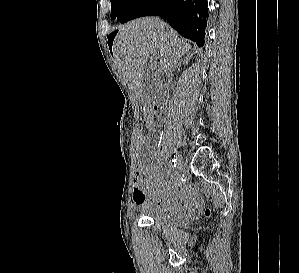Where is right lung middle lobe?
<instances>
[{
  "label": "right lung middle lobe",
  "mask_w": 299,
  "mask_h": 273,
  "mask_svg": "<svg viewBox=\"0 0 299 273\" xmlns=\"http://www.w3.org/2000/svg\"><path fill=\"white\" fill-rule=\"evenodd\" d=\"M111 1V19L121 20L131 5L136 0H110Z\"/></svg>",
  "instance_id": "right-lung-middle-lobe-1"
}]
</instances>
